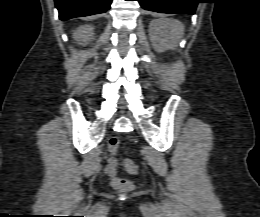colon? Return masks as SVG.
Wrapping results in <instances>:
<instances>
[{
  "label": "colon",
  "mask_w": 260,
  "mask_h": 217,
  "mask_svg": "<svg viewBox=\"0 0 260 217\" xmlns=\"http://www.w3.org/2000/svg\"><path fill=\"white\" fill-rule=\"evenodd\" d=\"M118 143L119 142L116 138L110 140V145L113 148H115L118 145ZM122 164L125 170L130 174H137L139 171L137 164L132 159L125 158L122 160ZM112 185L114 188L124 191L129 190L131 187L130 182L127 179L121 177L114 178L112 180Z\"/></svg>",
  "instance_id": "5ec220e1"
}]
</instances>
